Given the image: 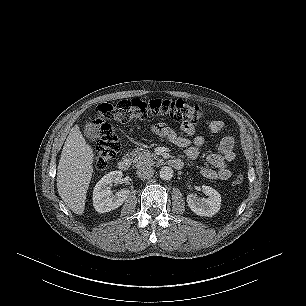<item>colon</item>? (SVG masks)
<instances>
[{
    "mask_svg": "<svg viewBox=\"0 0 306 306\" xmlns=\"http://www.w3.org/2000/svg\"><path fill=\"white\" fill-rule=\"evenodd\" d=\"M168 115L181 123L196 124L204 117L200 107L186 103L183 100L154 99L143 101L137 98L118 103H101L94 115V124L98 128L99 139L95 151L94 167L101 172L107 169L111 160L118 153L120 143L114 123L126 124L135 119L149 116ZM155 133H160L158 126L153 127ZM243 176L237 175L233 185L242 184Z\"/></svg>",
    "mask_w": 306,
    "mask_h": 306,
    "instance_id": "1",
    "label": "colon"
}]
</instances>
